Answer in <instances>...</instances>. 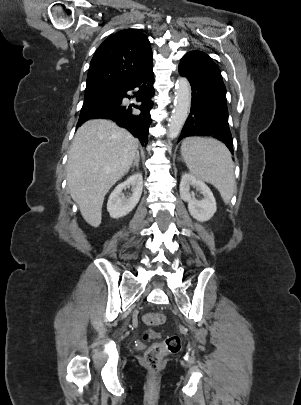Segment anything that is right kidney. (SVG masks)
<instances>
[{
    "label": "right kidney",
    "mask_w": 301,
    "mask_h": 405,
    "mask_svg": "<svg viewBox=\"0 0 301 405\" xmlns=\"http://www.w3.org/2000/svg\"><path fill=\"white\" fill-rule=\"evenodd\" d=\"M131 187L132 194L125 197L122 191ZM143 189L142 174L136 173L130 176L125 182L115 187L107 202V211L112 218H121L129 214L140 200Z\"/></svg>",
    "instance_id": "1"
}]
</instances>
